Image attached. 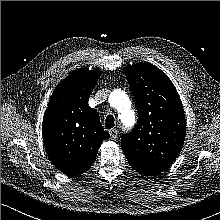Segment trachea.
<instances>
[{"label": "trachea", "instance_id": "obj_1", "mask_svg": "<svg viewBox=\"0 0 220 220\" xmlns=\"http://www.w3.org/2000/svg\"><path fill=\"white\" fill-rule=\"evenodd\" d=\"M114 117L112 115H108L105 120V128L111 129L114 127Z\"/></svg>", "mask_w": 220, "mask_h": 220}]
</instances>
